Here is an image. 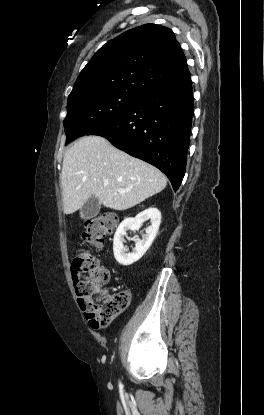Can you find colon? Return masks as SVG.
I'll list each match as a JSON object with an SVG mask.
<instances>
[{
  "instance_id": "colon-1",
  "label": "colon",
  "mask_w": 264,
  "mask_h": 415,
  "mask_svg": "<svg viewBox=\"0 0 264 415\" xmlns=\"http://www.w3.org/2000/svg\"><path fill=\"white\" fill-rule=\"evenodd\" d=\"M117 222L118 218L113 214L87 221L82 233L83 242L92 247H101ZM71 272L89 273V276L78 284L77 293L80 307L93 327L108 326L128 307L130 293L125 290L110 293L106 289L110 273L98 265L97 257L91 250H82L72 259Z\"/></svg>"
}]
</instances>
